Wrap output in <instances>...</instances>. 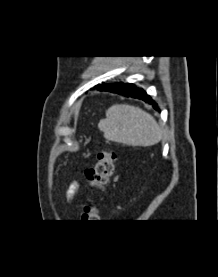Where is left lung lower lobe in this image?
Instances as JSON below:
<instances>
[{"instance_id":"1","label":"left lung lower lobe","mask_w":218,"mask_h":277,"mask_svg":"<svg viewBox=\"0 0 218 277\" xmlns=\"http://www.w3.org/2000/svg\"><path fill=\"white\" fill-rule=\"evenodd\" d=\"M99 90L101 91H107L111 93H117L123 96L138 98L146 103H150L152 105H156V103L151 99L149 95L146 94L145 91L142 89L136 88L133 84H123V83H116V84H99ZM156 110H158L156 108Z\"/></svg>"}]
</instances>
